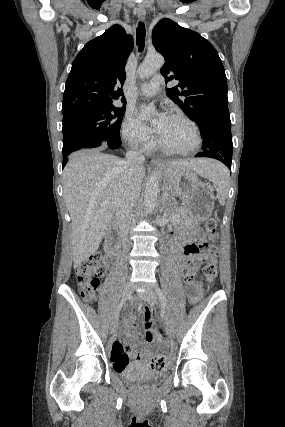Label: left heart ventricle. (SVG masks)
<instances>
[{
	"label": "left heart ventricle",
	"instance_id": "1",
	"mask_svg": "<svg viewBox=\"0 0 285 427\" xmlns=\"http://www.w3.org/2000/svg\"><path fill=\"white\" fill-rule=\"evenodd\" d=\"M160 139L166 144L181 150L189 149L195 144V134L193 129L186 122L168 117Z\"/></svg>",
	"mask_w": 285,
	"mask_h": 427
}]
</instances>
